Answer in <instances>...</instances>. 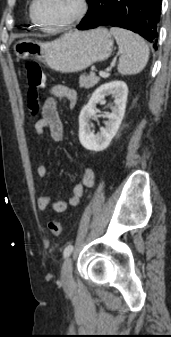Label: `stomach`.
<instances>
[{"instance_id": "obj_1", "label": "stomach", "mask_w": 171, "mask_h": 337, "mask_svg": "<svg viewBox=\"0 0 171 337\" xmlns=\"http://www.w3.org/2000/svg\"><path fill=\"white\" fill-rule=\"evenodd\" d=\"M13 49L18 58H36L55 71L72 73L106 60L112 53L113 38L107 29L100 27L66 33L51 42L22 39Z\"/></svg>"}]
</instances>
